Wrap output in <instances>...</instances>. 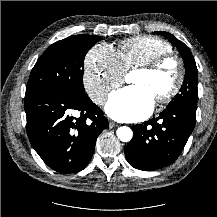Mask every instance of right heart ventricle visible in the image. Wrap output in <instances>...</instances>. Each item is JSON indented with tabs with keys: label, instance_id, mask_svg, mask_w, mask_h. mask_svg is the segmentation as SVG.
<instances>
[{
	"label": "right heart ventricle",
	"instance_id": "obj_1",
	"mask_svg": "<svg viewBox=\"0 0 217 217\" xmlns=\"http://www.w3.org/2000/svg\"><path fill=\"white\" fill-rule=\"evenodd\" d=\"M168 53H172V47L167 41L146 35L121 41L117 50L118 59L125 72Z\"/></svg>",
	"mask_w": 217,
	"mask_h": 217
}]
</instances>
